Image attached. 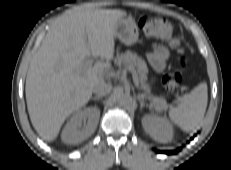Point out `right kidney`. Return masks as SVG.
<instances>
[{"instance_id": "obj_1", "label": "right kidney", "mask_w": 231, "mask_h": 170, "mask_svg": "<svg viewBox=\"0 0 231 170\" xmlns=\"http://www.w3.org/2000/svg\"><path fill=\"white\" fill-rule=\"evenodd\" d=\"M100 110L96 107L87 108L75 113L65 125L61 138L66 144H78L87 139L96 130Z\"/></svg>"}]
</instances>
